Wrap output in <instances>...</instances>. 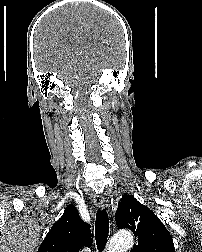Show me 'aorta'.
Instances as JSON below:
<instances>
[{
  "label": "aorta",
  "instance_id": "aorta-1",
  "mask_svg": "<svg viewBox=\"0 0 202 252\" xmlns=\"http://www.w3.org/2000/svg\"><path fill=\"white\" fill-rule=\"evenodd\" d=\"M133 246V237L128 231L117 233L110 241L107 252H126Z\"/></svg>",
  "mask_w": 202,
  "mask_h": 252
}]
</instances>
